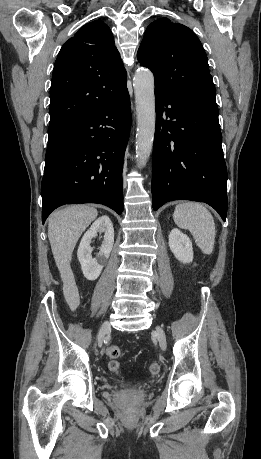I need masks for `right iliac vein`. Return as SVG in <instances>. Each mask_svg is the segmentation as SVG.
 Here are the masks:
<instances>
[{"label": "right iliac vein", "instance_id": "63e3f726", "mask_svg": "<svg viewBox=\"0 0 261 459\" xmlns=\"http://www.w3.org/2000/svg\"><path fill=\"white\" fill-rule=\"evenodd\" d=\"M110 329H111V325H110L109 321L103 322V324L101 325L99 334H98V345L100 347L102 346V343H103V341L105 339V336L110 331Z\"/></svg>", "mask_w": 261, "mask_h": 459}]
</instances>
